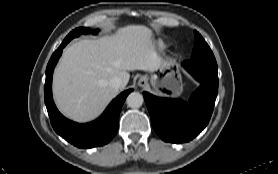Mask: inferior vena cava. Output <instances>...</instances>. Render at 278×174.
Masks as SVG:
<instances>
[{"mask_svg":"<svg viewBox=\"0 0 278 174\" xmlns=\"http://www.w3.org/2000/svg\"><path fill=\"white\" fill-rule=\"evenodd\" d=\"M109 85L115 89L122 87V80L119 77H114L109 81Z\"/></svg>","mask_w":278,"mask_h":174,"instance_id":"602c4592","label":"inferior vena cava"}]
</instances>
